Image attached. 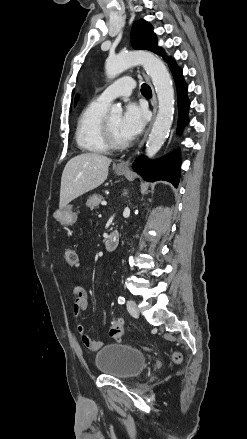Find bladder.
I'll return each instance as SVG.
<instances>
[{
  "mask_svg": "<svg viewBox=\"0 0 247 439\" xmlns=\"http://www.w3.org/2000/svg\"><path fill=\"white\" fill-rule=\"evenodd\" d=\"M95 365L102 374L129 379L137 376L144 369L146 356L135 347L110 344L98 351Z\"/></svg>",
  "mask_w": 247,
  "mask_h": 439,
  "instance_id": "31cf9c89",
  "label": "bladder"
}]
</instances>
